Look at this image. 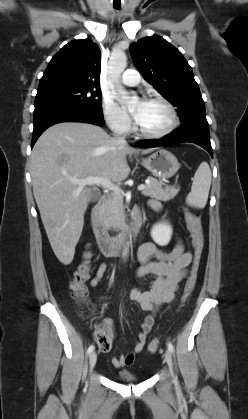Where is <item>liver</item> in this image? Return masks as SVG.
<instances>
[{"instance_id": "obj_1", "label": "liver", "mask_w": 248, "mask_h": 419, "mask_svg": "<svg viewBox=\"0 0 248 419\" xmlns=\"http://www.w3.org/2000/svg\"><path fill=\"white\" fill-rule=\"evenodd\" d=\"M135 152L99 126L80 122L55 124L37 140L30 158L33 194L50 245L64 265L74 258L93 191L72 180L102 177L121 182L130 173L126 156Z\"/></svg>"}]
</instances>
